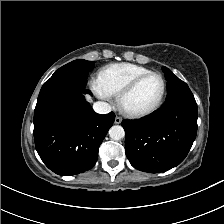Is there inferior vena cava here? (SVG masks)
Returning <instances> with one entry per match:
<instances>
[{
	"label": "inferior vena cava",
	"mask_w": 224,
	"mask_h": 224,
	"mask_svg": "<svg viewBox=\"0 0 224 224\" xmlns=\"http://www.w3.org/2000/svg\"><path fill=\"white\" fill-rule=\"evenodd\" d=\"M93 109L96 113H99V114H107L109 112H111V106L106 103V102H102V101H98V102H95L94 105H93Z\"/></svg>",
	"instance_id": "inferior-vena-cava-1"
}]
</instances>
